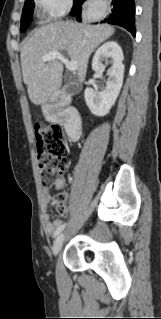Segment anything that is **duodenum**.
Wrapping results in <instances>:
<instances>
[{
  "mask_svg": "<svg viewBox=\"0 0 161 319\" xmlns=\"http://www.w3.org/2000/svg\"><path fill=\"white\" fill-rule=\"evenodd\" d=\"M44 114L49 121L63 124L71 142L79 139L82 131V121L79 111L70 106L68 96L57 90L51 102L44 108Z\"/></svg>",
  "mask_w": 161,
  "mask_h": 319,
  "instance_id": "obj_1",
  "label": "duodenum"
}]
</instances>
